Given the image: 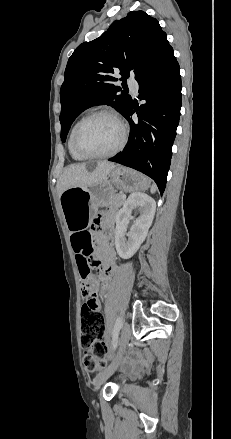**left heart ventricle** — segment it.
<instances>
[{"mask_svg":"<svg viewBox=\"0 0 231 439\" xmlns=\"http://www.w3.org/2000/svg\"><path fill=\"white\" fill-rule=\"evenodd\" d=\"M120 139V126L106 116L95 117L86 122L77 136L80 148L93 154L111 151L117 146Z\"/></svg>","mask_w":231,"mask_h":439,"instance_id":"obj_1","label":"left heart ventricle"}]
</instances>
